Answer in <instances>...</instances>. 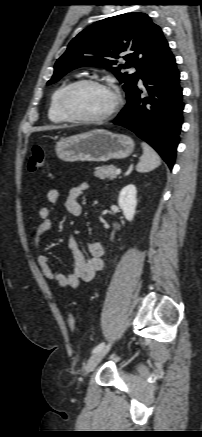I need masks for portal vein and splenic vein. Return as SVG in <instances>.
Returning <instances> with one entry per match:
<instances>
[{"label":"portal vein and splenic vein","mask_w":202,"mask_h":437,"mask_svg":"<svg viewBox=\"0 0 202 437\" xmlns=\"http://www.w3.org/2000/svg\"><path fill=\"white\" fill-rule=\"evenodd\" d=\"M120 173H121V170H120V169H116V170H115V174H116V175H119Z\"/></svg>","instance_id":"1"}]
</instances>
